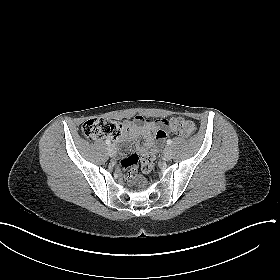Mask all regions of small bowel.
<instances>
[{
  "label": "small bowel",
  "mask_w": 280,
  "mask_h": 280,
  "mask_svg": "<svg viewBox=\"0 0 280 280\" xmlns=\"http://www.w3.org/2000/svg\"><path fill=\"white\" fill-rule=\"evenodd\" d=\"M165 120H148L143 116H136L133 120L124 124V132L116 137L115 141L121 145L122 153H125L129 142H134L136 152L151 151L155 153L167 138V132L163 129ZM142 136L145 146H142L138 138Z\"/></svg>",
  "instance_id": "1"
}]
</instances>
